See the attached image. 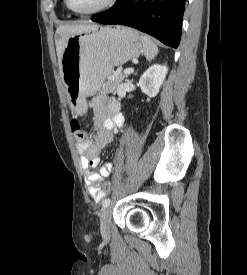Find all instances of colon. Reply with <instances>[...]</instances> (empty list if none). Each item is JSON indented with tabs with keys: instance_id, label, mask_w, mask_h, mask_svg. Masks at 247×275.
I'll use <instances>...</instances> for the list:
<instances>
[{
	"instance_id": "colon-1",
	"label": "colon",
	"mask_w": 247,
	"mask_h": 275,
	"mask_svg": "<svg viewBox=\"0 0 247 275\" xmlns=\"http://www.w3.org/2000/svg\"><path fill=\"white\" fill-rule=\"evenodd\" d=\"M72 134L76 142L81 143L85 139V131L82 129L80 122L77 119L71 121ZM112 190V183L105 182L102 186V191L108 194Z\"/></svg>"
}]
</instances>
